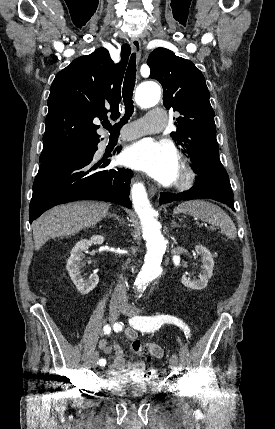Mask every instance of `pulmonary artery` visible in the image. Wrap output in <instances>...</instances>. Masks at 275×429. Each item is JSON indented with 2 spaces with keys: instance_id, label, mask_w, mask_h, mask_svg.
Listing matches in <instances>:
<instances>
[{
  "instance_id": "1",
  "label": "pulmonary artery",
  "mask_w": 275,
  "mask_h": 429,
  "mask_svg": "<svg viewBox=\"0 0 275 429\" xmlns=\"http://www.w3.org/2000/svg\"><path fill=\"white\" fill-rule=\"evenodd\" d=\"M166 121V113L162 109L156 108L149 111L143 118L133 122L124 129L119 136L120 140H132L145 134L160 131Z\"/></svg>"
}]
</instances>
